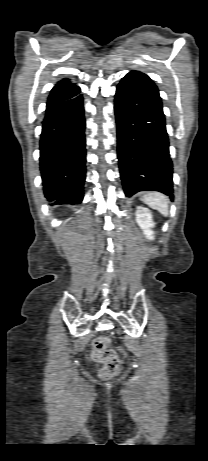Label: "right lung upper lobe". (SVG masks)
<instances>
[{
    "instance_id": "cb5924a9",
    "label": "right lung upper lobe",
    "mask_w": 208,
    "mask_h": 461,
    "mask_svg": "<svg viewBox=\"0 0 208 461\" xmlns=\"http://www.w3.org/2000/svg\"><path fill=\"white\" fill-rule=\"evenodd\" d=\"M79 93L80 88L76 84L72 83L68 78H64L58 81L51 90L47 100V105L73 98Z\"/></svg>"
}]
</instances>
